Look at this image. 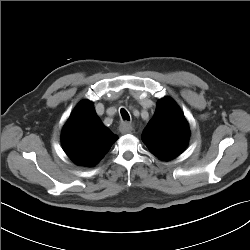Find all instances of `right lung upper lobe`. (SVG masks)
Returning <instances> with one entry per match:
<instances>
[{
	"mask_svg": "<svg viewBox=\"0 0 250 250\" xmlns=\"http://www.w3.org/2000/svg\"><path fill=\"white\" fill-rule=\"evenodd\" d=\"M117 140L103 125L90 101H82L74 109L62 132L65 153L78 165L94 166Z\"/></svg>",
	"mask_w": 250,
	"mask_h": 250,
	"instance_id": "1",
	"label": "right lung upper lobe"
}]
</instances>
